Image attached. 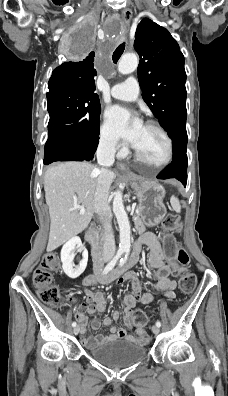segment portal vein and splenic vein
I'll return each mask as SVG.
<instances>
[{
	"instance_id": "1",
	"label": "portal vein and splenic vein",
	"mask_w": 228,
	"mask_h": 396,
	"mask_svg": "<svg viewBox=\"0 0 228 396\" xmlns=\"http://www.w3.org/2000/svg\"><path fill=\"white\" fill-rule=\"evenodd\" d=\"M75 209L79 210L80 214H84L85 213L84 205L75 204L71 210H75Z\"/></svg>"
}]
</instances>
